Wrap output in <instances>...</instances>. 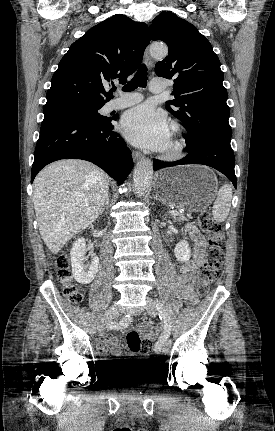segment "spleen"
Segmentation results:
<instances>
[{
	"label": "spleen",
	"mask_w": 275,
	"mask_h": 431,
	"mask_svg": "<svg viewBox=\"0 0 275 431\" xmlns=\"http://www.w3.org/2000/svg\"><path fill=\"white\" fill-rule=\"evenodd\" d=\"M232 200V188L229 184L225 183L218 191L217 198L213 204L212 215L216 222H223L226 220Z\"/></svg>",
	"instance_id": "spleen-1"
}]
</instances>
